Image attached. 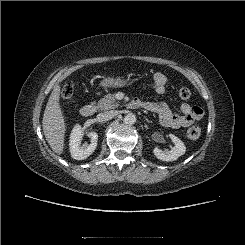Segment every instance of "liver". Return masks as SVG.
<instances>
[{"label": "liver", "mask_w": 245, "mask_h": 245, "mask_svg": "<svg viewBox=\"0 0 245 245\" xmlns=\"http://www.w3.org/2000/svg\"><path fill=\"white\" fill-rule=\"evenodd\" d=\"M60 89V86L56 85L51 92L42 120L45 138L51 149L58 155L63 153L66 131L63 111L59 104Z\"/></svg>", "instance_id": "6515ba94"}]
</instances>
